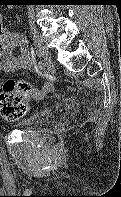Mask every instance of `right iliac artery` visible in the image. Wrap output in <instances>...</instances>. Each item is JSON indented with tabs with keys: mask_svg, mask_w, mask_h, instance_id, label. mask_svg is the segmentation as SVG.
<instances>
[{
	"mask_svg": "<svg viewBox=\"0 0 121 197\" xmlns=\"http://www.w3.org/2000/svg\"><path fill=\"white\" fill-rule=\"evenodd\" d=\"M39 55H40V53H39ZM38 64H39L40 68H43L45 66V63L42 60H40Z\"/></svg>",
	"mask_w": 121,
	"mask_h": 197,
	"instance_id": "1",
	"label": "right iliac artery"
}]
</instances>
